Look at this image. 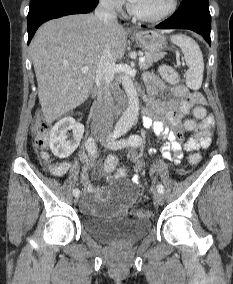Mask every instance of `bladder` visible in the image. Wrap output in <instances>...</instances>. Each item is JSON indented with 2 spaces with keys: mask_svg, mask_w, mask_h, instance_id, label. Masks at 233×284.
<instances>
[{
  "mask_svg": "<svg viewBox=\"0 0 233 284\" xmlns=\"http://www.w3.org/2000/svg\"><path fill=\"white\" fill-rule=\"evenodd\" d=\"M137 192V188L130 182L117 181L100 193L99 198L106 204L119 205L133 202ZM88 198L96 204L91 196ZM82 226L88 235L100 241L133 242L144 237L151 230L152 223L147 218L96 216L84 218Z\"/></svg>",
  "mask_w": 233,
  "mask_h": 284,
  "instance_id": "31cf9c89",
  "label": "bladder"
}]
</instances>
